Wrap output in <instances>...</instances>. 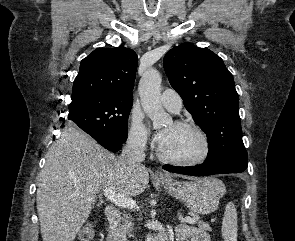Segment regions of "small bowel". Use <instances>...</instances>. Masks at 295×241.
I'll return each instance as SVG.
<instances>
[{
	"label": "small bowel",
	"mask_w": 295,
	"mask_h": 241,
	"mask_svg": "<svg viewBox=\"0 0 295 241\" xmlns=\"http://www.w3.org/2000/svg\"><path fill=\"white\" fill-rule=\"evenodd\" d=\"M176 235L177 241H209L205 232L189 226L178 227Z\"/></svg>",
	"instance_id": "1"
}]
</instances>
